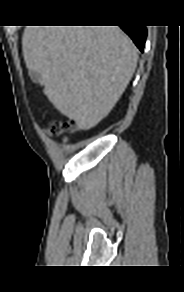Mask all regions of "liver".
Here are the masks:
<instances>
[{"mask_svg": "<svg viewBox=\"0 0 184 292\" xmlns=\"http://www.w3.org/2000/svg\"><path fill=\"white\" fill-rule=\"evenodd\" d=\"M22 46L26 66L41 75L49 101L82 130L110 113L138 60L118 26H27Z\"/></svg>", "mask_w": 184, "mask_h": 292, "instance_id": "liver-1", "label": "liver"}]
</instances>
